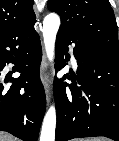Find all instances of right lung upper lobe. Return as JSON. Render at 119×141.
<instances>
[{"instance_id": "obj_1", "label": "right lung upper lobe", "mask_w": 119, "mask_h": 141, "mask_svg": "<svg viewBox=\"0 0 119 141\" xmlns=\"http://www.w3.org/2000/svg\"><path fill=\"white\" fill-rule=\"evenodd\" d=\"M35 22L33 0H0V41L26 30Z\"/></svg>"}]
</instances>
